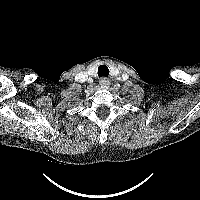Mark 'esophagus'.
Returning <instances> with one entry per match:
<instances>
[{
	"label": "esophagus",
	"mask_w": 200,
	"mask_h": 200,
	"mask_svg": "<svg viewBox=\"0 0 200 200\" xmlns=\"http://www.w3.org/2000/svg\"><path fill=\"white\" fill-rule=\"evenodd\" d=\"M99 83H100L101 86L106 87V86L110 85V80L106 77H102Z\"/></svg>",
	"instance_id": "1"
}]
</instances>
